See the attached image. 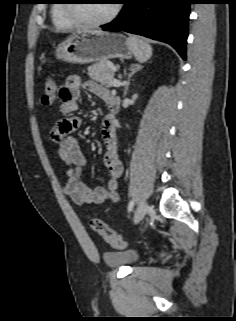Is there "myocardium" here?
Here are the masks:
<instances>
[{"mask_svg":"<svg viewBox=\"0 0 236 321\" xmlns=\"http://www.w3.org/2000/svg\"><path fill=\"white\" fill-rule=\"evenodd\" d=\"M69 1V3H65V9H66V14L67 16L73 21L75 22L77 25L83 26V27H100V26H104L108 23H110L111 21H113L117 15L119 14L120 10H121V5L119 3H114L113 8L110 12V14L101 19V20H96V21H91V20H87L82 18L79 14H78V6L80 3H77V0H67Z\"/></svg>","mask_w":236,"mask_h":321,"instance_id":"f54148a6","label":"myocardium"}]
</instances>
